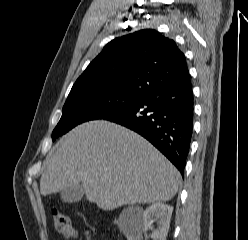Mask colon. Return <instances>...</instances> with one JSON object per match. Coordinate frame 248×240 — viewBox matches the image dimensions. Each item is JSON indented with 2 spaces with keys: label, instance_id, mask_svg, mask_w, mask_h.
Masks as SVG:
<instances>
[{
  "label": "colon",
  "instance_id": "colon-1",
  "mask_svg": "<svg viewBox=\"0 0 248 240\" xmlns=\"http://www.w3.org/2000/svg\"><path fill=\"white\" fill-rule=\"evenodd\" d=\"M50 216L55 229L66 240H73L76 237V231L71 220L57 206L50 207Z\"/></svg>",
  "mask_w": 248,
  "mask_h": 240
}]
</instances>
